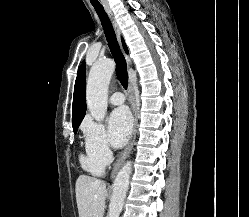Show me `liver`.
<instances>
[{
  "label": "liver",
  "mask_w": 249,
  "mask_h": 217,
  "mask_svg": "<svg viewBox=\"0 0 249 217\" xmlns=\"http://www.w3.org/2000/svg\"><path fill=\"white\" fill-rule=\"evenodd\" d=\"M75 191L79 217H103L107 189L102 180L80 175Z\"/></svg>",
  "instance_id": "1"
}]
</instances>
